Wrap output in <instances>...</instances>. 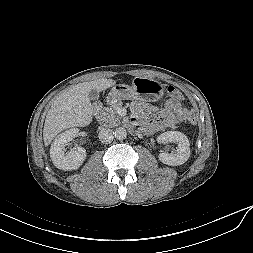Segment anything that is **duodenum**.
Instances as JSON below:
<instances>
[{"label": "duodenum", "mask_w": 253, "mask_h": 253, "mask_svg": "<svg viewBox=\"0 0 253 253\" xmlns=\"http://www.w3.org/2000/svg\"><path fill=\"white\" fill-rule=\"evenodd\" d=\"M113 100V98H111V100L110 101H112ZM102 112H103V108L101 107V106H95V108H94V116L98 119V118H100L101 117V115H102Z\"/></svg>", "instance_id": "duodenum-1"}]
</instances>
